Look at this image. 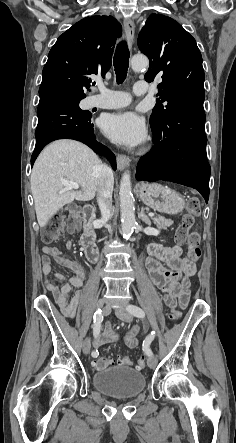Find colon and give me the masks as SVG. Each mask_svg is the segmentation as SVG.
<instances>
[{
    "mask_svg": "<svg viewBox=\"0 0 236 443\" xmlns=\"http://www.w3.org/2000/svg\"><path fill=\"white\" fill-rule=\"evenodd\" d=\"M200 214V202L197 198L191 197L187 201L186 212L182 217L181 224L176 230L175 239L178 244H186L188 248V257L191 261L196 262L201 257L200 249V235L197 232H190V229L195 223V218ZM67 222L69 229L74 230L80 224L79 210L71 207L65 212H61L53 216L41 229V239L45 243H51L57 240ZM181 313L173 311L170 314V319L173 321L179 320ZM122 365H131L132 361L128 356H122L115 359L110 356H99L93 361V366L96 369H105L114 365L115 363ZM146 367L144 358L139 359L137 368L143 370Z\"/></svg>",
    "mask_w": 236,
    "mask_h": 443,
    "instance_id": "colon-1",
    "label": "colon"
}]
</instances>
